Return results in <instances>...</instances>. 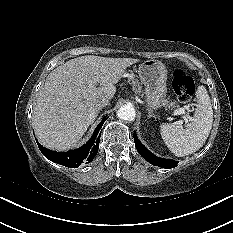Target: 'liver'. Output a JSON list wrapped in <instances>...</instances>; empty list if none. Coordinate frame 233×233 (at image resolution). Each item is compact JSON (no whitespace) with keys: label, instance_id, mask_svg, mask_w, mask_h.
Returning <instances> with one entry per match:
<instances>
[{"label":"liver","instance_id":"liver-1","mask_svg":"<svg viewBox=\"0 0 233 233\" xmlns=\"http://www.w3.org/2000/svg\"><path fill=\"white\" fill-rule=\"evenodd\" d=\"M138 61L87 55L51 71L32 117L40 144L56 151L75 147L97 117L98 101L112 99L125 69Z\"/></svg>","mask_w":233,"mask_h":233}]
</instances>
